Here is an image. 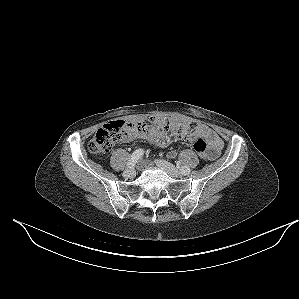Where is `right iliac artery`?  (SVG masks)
<instances>
[{"instance_id":"1","label":"right iliac artery","mask_w":299,"mask_h":299,"mask_svg":"<svg viewBox=\"0 0 299 299\" xmlns=\"http://www.w3.org/2000/svg\"><path fill=\"white\" fill-rule=\"evenodd\" d=\"M143 153V149L135 150L127 163V167L132 168L137 163V161L143 156Z\"/></svg>"}]
</instances>
